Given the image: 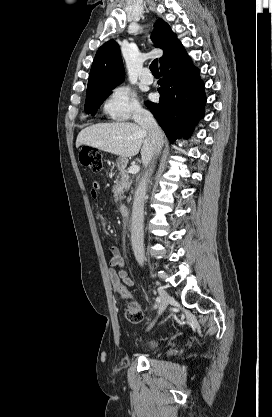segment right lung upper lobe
I'll use <instances>...</instances> for the list:
<instances>
[{
    "label": "right lung upper lobe",
    "mask_w": 272,
    "mask_h": 417,
    "mask_svg": "<svg viewBox=\"0 0 272 417\" xmlns=\"http://www.w3.org/2000/svg\"><path fill=\"white\" fill-rule=\"evenodd\" d=\"M151 38L164 51L160 65L182 45L168 24L159 19L154 24ZM124 80V67L120 48L114 40L104 43L94 58L87 86V94L97 90L114 88Z\"/></svg>",
    "instance_id": "obj_1"
}]
</instances>
